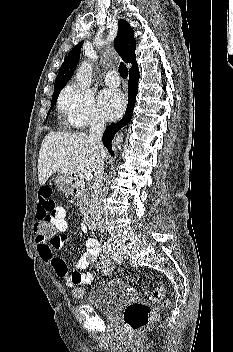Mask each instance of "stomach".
<instances>
[{
	"mask_svg": "<svg viewBox=\"0 0 233 352\" xmlns=\"http://www.w3.org/2000/svg\"><path fill=\"white\" fill-rule=\"evenodd\" d=\"M56 185L64 193H73L74 185L72 175L58 174L56 177Z\"/></svg>",
	"mask_w": 233,
	"mask_h": 352,
	"instance_id": "stomach-1",
	"label": "stomach"
}]
</instances>
